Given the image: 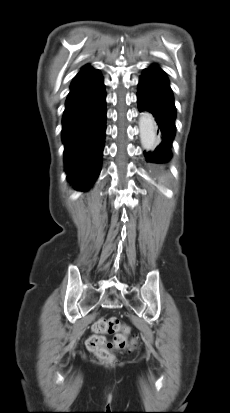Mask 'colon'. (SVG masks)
Instances as JSON below:
<instances>
[{"label": "colon", "instance_id": "1", "mask_svg": "<svg viewBox=\"0 0 230 413\" xmlns=\"http://www.w3.org/2000/svg\"><path fill=\"white\" fill-rule=\"evenodd\" d=\"M96 334L87 340V348L99 360L107 363L114 361L113 349H124L127 346L126 335L129 328L115 317L99 318L93 325ZM115 334L112 342H108L102 334Z\"/></svg>", "mask_w": 230, "mask_h": 413}]
</instances>
